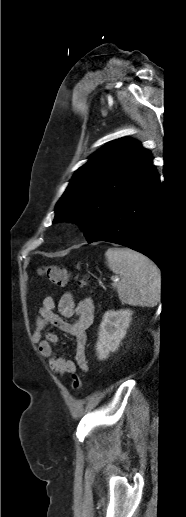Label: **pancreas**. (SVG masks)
<instances>
[{
  "instance_id": "pancreas-1",
  "label": "pancreas",
  "mask_w": 186,
  "mask_h": 517,
  "mask_svg": "<svg viewBox=\"0 0 186 517\" xmlns=\"http://www.w3.org/2000/svg\"><path fill=\"white\" fill-rule=\"evenodd\" d=\"M113 287H116V284H115V283L113 284Z\"/></svg>"
}]
</instances>
